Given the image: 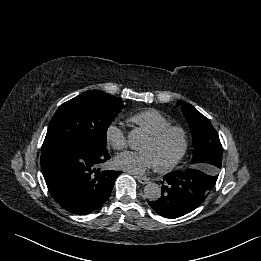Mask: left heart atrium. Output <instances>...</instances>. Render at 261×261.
Instances as JSON below:
<instances>
[{
	"label": "left heart atrium",
	"instance_id": "39dd6f15",
	"mask_svg": "<svg viewBox=\"0 0 261 261\" xmlns=\"http://www.w3.org/2000/svg\"><path fill=\"white\" fill-rule=\"evenodd\" d=\"M115 164L118 168L133 174H143L157 166L154 155L149 151L121 153L115 158Z\"/></svg>",
	"mask_w": 261,
	"mask_h": 261
}]
</instances>
